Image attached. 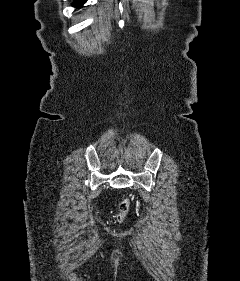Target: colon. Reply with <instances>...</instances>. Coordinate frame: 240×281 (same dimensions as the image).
Returning a JSON list of instances; mask_svg holds the SVG:
<instances>
[{
	"label": "colon",
	"mask_w": 240,
	"mask_h": 281,
	"mask_svg": "<svg viewBox=\"0 0 240 281\" xmlns=\"http://www.w3.org/2000/svg\"><path fill=\"white\" fill-rule=\"evenodd\" d=\"M130 209V200L124 199L119 205V212L116 216L118 222H123Z\"/></svg>",
	"instance_id": "1"
}]
</instances>
